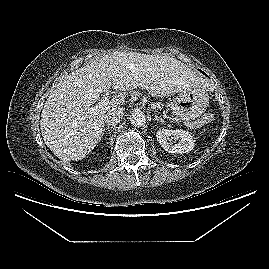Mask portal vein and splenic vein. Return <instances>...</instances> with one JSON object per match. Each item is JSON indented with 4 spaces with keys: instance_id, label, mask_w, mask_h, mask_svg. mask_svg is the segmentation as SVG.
I'll list each match as a JSON object with an SVG mask.
<instances>
[{
    "instance_id": "18ae733b",
    "label": "portal vein and splenic vein",
    "mask_w": 269,
    "mask_h": 269,
    "mask_svg": "<svg viewBox=\"0 0 269 269\" xmlns=\"http://www.w3.org/2000/svg\"><path fill=\"white\" fill-rule=\"evenodd\" d=\"M110 102V97L107 95H104L100 102H98V104H96L94 107H91L89 110L92 112H97L98 110H100L102 107L108 105Z\"/></svg>"
}]
</instances>
